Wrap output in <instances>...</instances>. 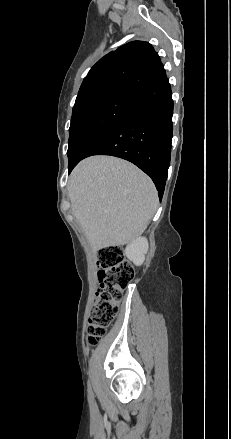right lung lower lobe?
I'll return each mask as SVG.
<instances>
[{
  "label": "right lung lower lobe",
  "instance_id": "right-lung-lower-lobe-1",
  "mask_svg": "<svg viewBox=\"0 0 231 439\" xmlns=\"http://www.w3.org/2000/svg\"><path fill=\"white\" fill-rule=\"evenodd\" d=\"M140 112L96 135L74 162L91 155H112L134 163L153 180L160 199L170 165L173 100L165 77L135 93Z\"/></svg>",
  "mask_w": 231,
  "mask_h": 439
}]
</instances>
